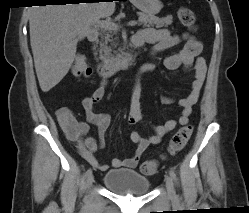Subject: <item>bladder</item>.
I'll use <instances>...</instances> for the list:
<instances>
[{"mask_svg": "<svg viewBox=\"0 0 249 213\" xmlns=\"http://www.w3.org/2000/svg\"><path fill=\"white\" fill-rule=\"evenodd\" d=\"M104 186L117 195H145L151 189L150 180L132 169H113L103 178Z\"/></svg>", "mask_w": 249, "mask_h": 213, "instance_id": "1", "label": "bladder"}]
</instances>
